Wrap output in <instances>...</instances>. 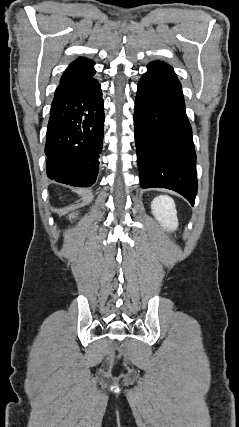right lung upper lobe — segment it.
I'll use <instances>...</instances> for the list:
<instances>
[{"instance_id": "cb5924a9", "label": "right lung upper lobe", "mask_w": 239, "mask_h": 427, "mask_svg": "<svg viewBox=\"0 0 239 427\" xmlns=\"http://www.w3.org/2000/svg\"><path fill=\"white\" fill-rule=\"evenodd\" d=\"M93 65L94 63L91 60L79 57L69 65L68 69L64 72L61 81L94 72L95 70Z\"/></svg>"}]
</instances>
